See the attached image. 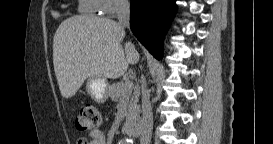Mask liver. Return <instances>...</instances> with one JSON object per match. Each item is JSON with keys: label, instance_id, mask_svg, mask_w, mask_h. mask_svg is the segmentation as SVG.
<instances>
[{"label": "liver", "instance_id": "1", "mask_svg": "<svg viewBox=\"0 0 273 144\" xmlns=\"http://www.w3.org/2000/svg\"><path fill=\"white\" fill-rule=\"evenodd\" d=\"M124 28L116 21L90 15L64 20L53 39L54 71L63 98L73 97L90 77L115 79L139 61L131 42L121 45Z\"/></svg>", "mask_w": 273, "mask_h": 144}]
</instances>
